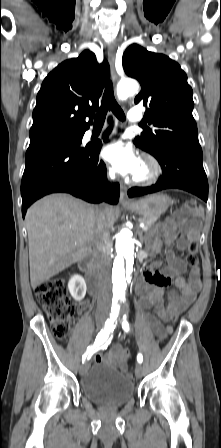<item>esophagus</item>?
<instances>
[{
	"mask_svg": "<svg viewBox=\"0 0 221 448\" xmlns=\"http://www.w3.org/2000/svg\"><path fill=\"white\" fill-rule=\"evenodd\" d=\"M115 59H116V47L114 44H110L108 47V60L111 66L113 79L115 82H117L118 74L116 71ZM120 203L122 204L131 203V200L127 196V187L124 185H122L120 189Z\"/></svg>",
	"mask_w": 221,
	"mask_h": 448,
	"instance_id": "34e87169",
	"label": "esophagus"
}]
</instances>
